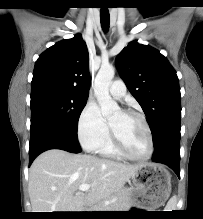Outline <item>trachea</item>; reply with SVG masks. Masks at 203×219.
I'll list each match as a JSON object with an SVG mask.
<instances>
[{
    "mask_svg": "<svg viewBox=\"0 0 203 219\" xmlns=\"http://www.w3.org/2000/svg\"><path fill=\"white\" fill-rule=\"evenodd\" d=\"M110 16L108 11L100 12V22L104 31H107L109 28Z\"/></svg>",
    "mask_w": 203,
    "mask_h": 219,
    "instance_id": "3493384b",
    "label": "trachea"
}]
</instances>
